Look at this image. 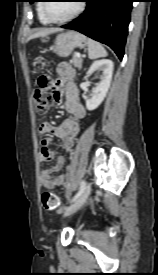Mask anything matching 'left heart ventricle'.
<instances>
[{"mask_svg": "<svg viewBox=\"0 0 158 275\" xmlns=\"http://www.w3.org/2000/svg\"><path fill=\"white\" fill-rule=\"evenodd\" d=\"M79 1H50L47 13L54 19H63L70 16L78 7Z\"/></svg>", "mask_w": 158, "mask_h": 275, "instance_id": "b2bd125f", "label": "left heart ventricle"}]
</instances>
